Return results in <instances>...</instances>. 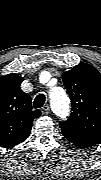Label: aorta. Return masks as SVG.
Wrapping results in <instances>:
<instances>
[{"label": "aorta", "mask_w": 101, "mask_h": 180, "mask_svg": "<svg viewBox=\"0 0 101 180\" xmlns=\"http://www.w3.org/2000/svg\"><path fill=\"white\" fill-rule=\"evenodd\" d=\"M51 104L54 112L61 118H65L69 114V99L60 87L52 88L50 92Z\"/></svg>", "instance_id": "obj_1"}]
</instances>
